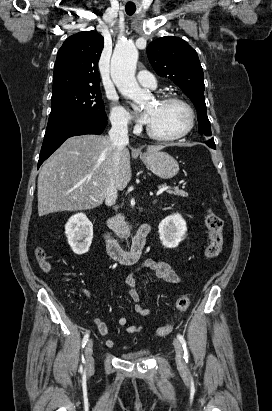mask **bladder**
<instances>
[{"label":"bladder","mask_w":272,"mask_h":411,"mask_svg":"<svg viewBox=\"0 0 272 411\" xmlns=\"http://www.w3.org/2000/svg\"><path fill=\"white\" fill-rule=\"evenodd\" d=\"M147 356H148V353L143 352V353L126 354V355H123L122 358L125 360H129V361H136V360L144 359Z\"/></svg>","instance_id":"31cf9c89"}]
</instances>
